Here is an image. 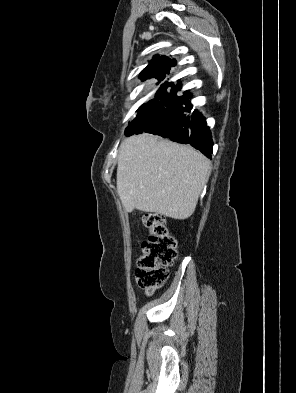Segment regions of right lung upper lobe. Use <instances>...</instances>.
I'll return each instance as SVG.
<instances>
[{
  "mask_svg": "<svg viewBox=\"0 0 296 393\" xmlns=\"http://www.w3.org/2000/svg\"><path fill=\"white\" fill-rule=\"evenodd\" d=\"M176 65L175 60H171L166 56H155V58L149 63V65L142 70L140 78L146 80L149 78H156L163 80L166 74H169L170 68Z\"/></svg>",
  "mask_w": 296,
  "mask_h": 393,
  "instance_id": "obj_1",
  "label": "right lung upper lobe"
}]
</instances>
